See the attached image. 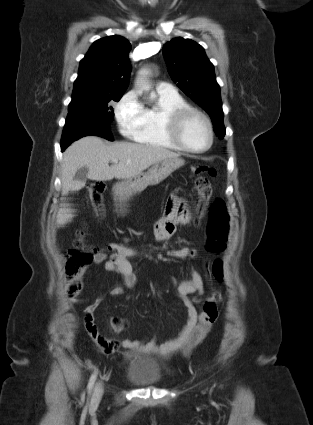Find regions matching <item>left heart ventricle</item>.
<instances>
[{"mask_svg": "<svg viewBox=\"0 0 313 425\" xmlns=\"http://www.w3.org/2000/svg\"><path fill=\"white\" fill-rule=\"evenodd\" d=\"M182 135L186 144L194 149H201L209 142L207 126L198 116H192L188 119L184 126Z\"/></svg>", "mask_w": 313, "mask_h": 425, "instance_id": "left-heart-ventricle-1", "label": "left heart ventricle"}]
</instances>
